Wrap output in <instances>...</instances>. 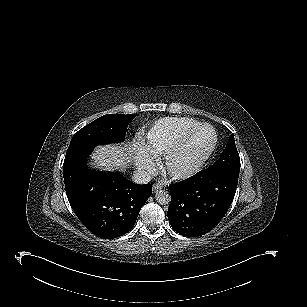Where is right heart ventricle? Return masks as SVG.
<instances>
[{
    "instance_id": "obj_1",
    "label": "right heart ventricle",
    "mask_w": 307,
    "mask_h": 307,
    "mask_svg": "<svg viewBox=\"0 0 307 307\" xmlns=\"http://www.w3.org/2000/svg\"><path fill=\"white\" fill-rule=\"evenodd\" d=\"M193 122L185 118H166L156 124L149 136L150 149L153 153H165L192 130Z\"/></svg>"
}]
</instances>
